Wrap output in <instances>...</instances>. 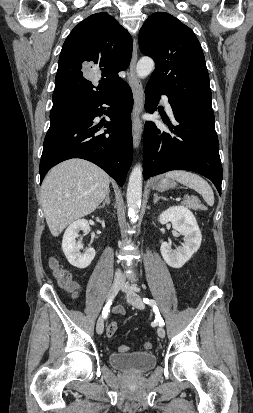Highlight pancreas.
Returning a JSON list of instances; mask_svg holds the SVG:
<instances>
[{
    "label": "pancreas",
    "instance_id": "1",
    "mask_svg": "<svg viewBox=\"0 0 253 413\" xmlns=\"http://www.w3.org/2000/svg\"><path fill=\"white\" fill-rule=\"evenodd\" d=\"M182 203L193 210L202 208V204L197 197H187Z\"/></svg>",
    "mask_w": 253,
    "mask_h": 413
}]
</instances>
